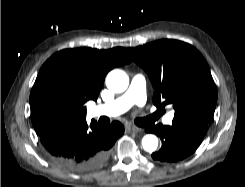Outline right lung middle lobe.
<instances>
[{"label":"right lung middle lobe","mask_w":245,"mask_h":187,"mask_svg":"<svg viewBox=\"0 0 245 187\" xmlns=\"http://www.w3.org/2000/svg\"><path fill=\"white\" fill-rule=\"evenodd\" d=\"M30 100L49 115L62 117L69 112L73 96L59 82L49 80L32 89Z\"/></svg>","instance_id":"right-lung-middle-lobe-1"}]
</instances>
